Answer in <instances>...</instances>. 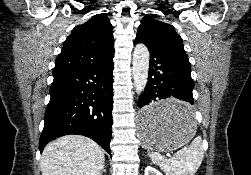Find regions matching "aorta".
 Returning <instances> with one entry per match:
<instances>
[{"label":"aorta","instance_id":"762f6f07","mask_svg":"<svg viewBox=\"0 0 251 175\" xmlns=\"http://www.w3.org/2000/svg\"><path fill=\"white\" fill-rule=\"evenodd\" d=\"M149 50L144 44H137L133 54V78L137 93L146 88L149 70Z\"/></svg>","mask_w":251,"mask_h":175}]
</instances>
